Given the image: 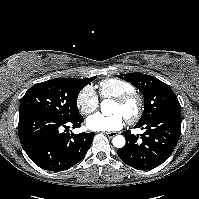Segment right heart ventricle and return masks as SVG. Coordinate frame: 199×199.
<instances>
[{"label":"right heart ventricle","instance_id":"1","mask_svg":"<svg viewBox=\"0 0 199 199\" xmlns=\"http://www.w3.org/2000/svg\"><path fill=\"white\" fill-rule=\"evenodd\" d=\"M99 94L101 98H116L123 94L135 91V86L125 80L109 78L99 83Z\"/></svg>","mask_w":199,"mask_h":199}]
</instances>
